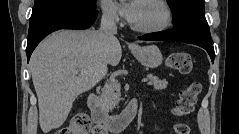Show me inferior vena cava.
I'll list each match as a JSON object with an SVG mask.
<instances>
[{
  "mask_svg": "<svg viewBox=\"0 0 239 134\" xmlns=\"http://www.w3.org/2000/svg\"><path fill=\"white\" fill-rule=\"evenodd\" d=\"M100 33L107 39H114L117 34V26L115 14L110 9H105L101 18ZM107 72V64L101 66V73L105 75Z\"/></svg>",
  "mask_w": 239,
  "mask_h": 134,
  "instance_id": "obj_1",
  "label": "inferior vena cava"
}]
</instances>
